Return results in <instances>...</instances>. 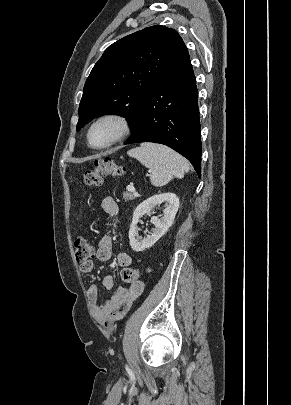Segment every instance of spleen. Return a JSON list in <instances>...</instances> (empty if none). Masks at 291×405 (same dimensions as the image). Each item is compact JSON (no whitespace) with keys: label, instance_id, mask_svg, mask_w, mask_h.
Wrapping results in <instances>:
<instances>
[{"label":"spleen","instance_id":"spleen-1","mask_svg":"<svg viewBox=\"0 0 291 405\" xmlns=\"http://www.w3.org/2000/svg\"><path fill=\"white\" fill-rule=\"evenodd\" d=\"M128 155L149 168L150 181L156 187L166 185L173 178L181 179L189 171V164L182 156L160 144H142L129 150Z\"/></svg>","mask_w":291,"mask_h":405}]
</instances>
